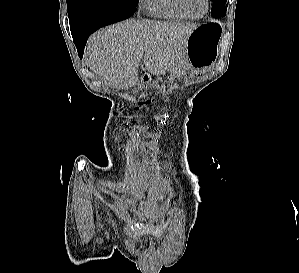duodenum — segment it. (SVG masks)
I'll return each instance as SVG.
<instances>
[{
	"instance_id": "410a0bca",
	"label": "duodenum",
	"mask_w": 299,
	"mask_h": 273,
	"mask_svg": "<svg viewBox=\"0 0 299 273\" xmlns=\"http://www.w3.org/2000/svg\"><path fill=\"white\" fill-rule=\"evenodd\" d=\"M148 78H147V76L145 77V80H147Z\"/></svg>"
}]
</instances>
